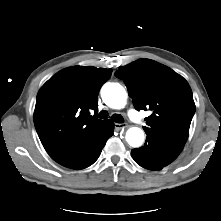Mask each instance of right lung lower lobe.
<instances>
[{"mask_svg": "<svg viewBox=\"0 0 221 221\" xmlns=\"http://www.w3.org/2000/svg\"><path fill=\"white\" fill-rule=\"evenodd\" d=\"M113 129L114 123L106 120L102 127L56 162L76 170L89 167L100 156L106 141L113 135Z\"/></svg>", "mask_w": 221, "mask_h": 221, "instance_id": "right-lung-lower-lobe-1", "label": "right lung lower lobe"}]
</instances>
